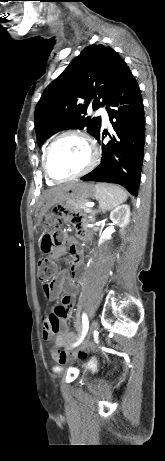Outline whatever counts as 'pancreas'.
I'll list each match as a JSON object with an SVG mask.
<instances>
[{
    "instance_id": "pancreas-1",
    "label": "pancreas",
    "mask_w": 165,
    "mask_h": 461,
    "mask_svg": "<svg viewBox=\"0 0 165 461\" xmlns=\"http://www.w3.org/2000/svg\"><path fill=\"white\" fill-rule=\"evenodd\" d=\"M86 200L83 199H69L66 202V207L72 211H85L88 212V208L85 206Z\"/></svg>"
}]
</instances>
